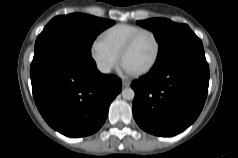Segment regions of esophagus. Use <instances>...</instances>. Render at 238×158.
<instances>
[{"label":"esophagus","mask_w":238,"mask_h":158,"mask_svg":"<svg viewBox=\"0 0 238 158\" xmlns=\"http://www.w3.org/2000/svg\"><path fill=\"white\" fill-rule=\"evenodd\" d=\"M122 85H123V87H129L130 86V82L127 81V80H123Z\"/></svg>","instance_id":"obj_1"}]
</instances>
